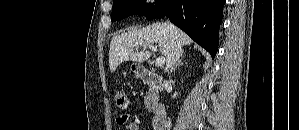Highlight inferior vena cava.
<instances>
[{"label": "inferior vena cava", "mask_w": 299, "mask_h": 130, "mask_svg": "<svg viewBox=\"0 0 299 130\" xmlns=\"http://www.w3.org/2000/svg\"><path fill=\"white\" fill-rule=\"evenodd\" d=\"M168 28L170 30L171 36L173 38L172 50L170 55L166 60V68L165 71H168L180 58L182 55V46L177 39V31L174 25L168 23Z\"/></svg>", "instance_id": "602c4592"}]
</instances>
